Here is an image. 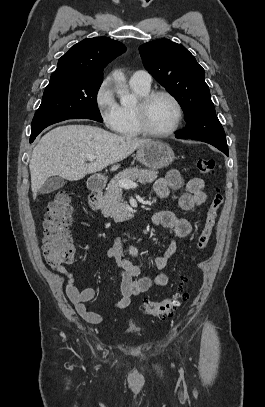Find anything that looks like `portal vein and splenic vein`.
<instances>
[{
    "mask_svg": "<svg viewBox=\"0 0 265 407\" xmlns=\"http://www.w3.org/2000/svg\"><path fill=\"white\" fill-rule=\"evenodd\" d=\"M87 159H88L90 162H93V161L96 159V156L90 155V156L87 157ZM119 185H120L122 188H125V189L135 188V187L138 186V184H137L136 182H133V181H131V180H120V181H119Z\"/></svg>",
    "mask_w": 265,
    "mask_h": 407,
    "instance_id": "1",
    "label": "portal vein and splenic vein"
}]
</instances>
